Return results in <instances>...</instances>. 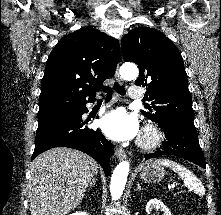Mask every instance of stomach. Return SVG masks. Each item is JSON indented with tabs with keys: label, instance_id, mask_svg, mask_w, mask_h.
Wrapping results in <instances>:
<instances>
[{
	"label": "stomach",
	"instance_id": "1",
	"mask_svg": "<svg viewBox=\"0 0 221 215\" xmlns=\"http://www.w3.org/2000/svg\"><path fill=\"white\" fill-rule=\"evenodd\" d=\"M164 175V167L155 162L147 163L140 171V178L146 183H158Z\"/></svg>",
	"mask_w": 221,
	"mask_h": 215
}]
</instances>
